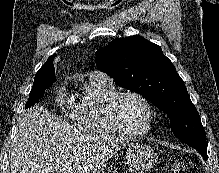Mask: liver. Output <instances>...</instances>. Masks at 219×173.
Wrapping results in <instances>:
<instances>
[{
    "label": "liver",
    "instance_id": "liver-1",
    "mask_svg": "<svg viewBox=\"0 0 219 173\" xmlns=\"http://www.w3.org/2000/svg\"><path fill=\"white\" fill-rule=\"evenodd\" d=\"M124 142L74 127L37 105L19 117L11 173H99Z\"/></svg>",
    "mask_w": 219,
    "mask_h": 173
}]
</instances>
